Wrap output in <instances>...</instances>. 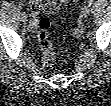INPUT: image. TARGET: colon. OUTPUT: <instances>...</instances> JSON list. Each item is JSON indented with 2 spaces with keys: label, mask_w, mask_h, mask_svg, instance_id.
I'll return each instance as SVG.
<instances>
[{
  "label": "colon",
  "mask_w": 111,
  "mask_h": 106,
  "mask_svg": "<svg viewBox=\"0 0 111 106\" xmlns=\"http://www.w3.org/2000/svg\"><path fill=\"white\" fill-rule=\"evenodd\" d=\"M51 22L48 18H40L37 23V44L46 67H51L55 61V53L49 38Z\"/></svg>",
  "instance_id": "obj_1"
}]
</instances>
